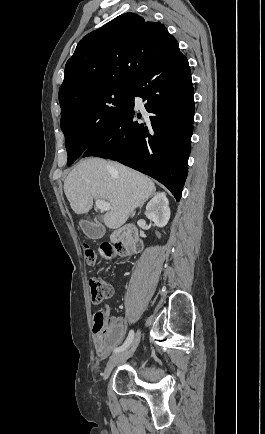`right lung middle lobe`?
<instances>
[{
  "mask_svg": "<svg viewBox=\"0 0 265 434\" xmlns=\"http://www.w3.org/2000/svg\"><path fill=\"white\" fill-rule=\"evenodd\" d=\"M134 80L110 77L73 88L59 97L68 165L123 117L133 99Z\"/></svg>",
  "mask_w": 265,
  "mask_h": 434,
  "instance_id": "1",
  "label": "right lung middle lobe"
}]
</instances>
